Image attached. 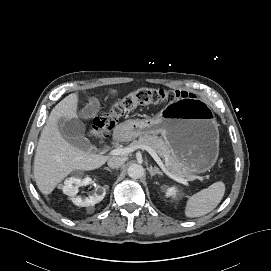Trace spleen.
<instances>
[{"label": "spleen", "instance_id": "obj_1", "mask_svg": "<svg viewBox=\"0 0 271 271\" xmlns=\"http://www.w3.org/2000/svg\"><path fill=\"white\" fill-rule=\"evenodd\" d=\"M224 193L225 184L218 181L208 188L189 196L185 206V216L195 218L208 214L221 202Z\"/></svg>", "mask_w": 271, "mask_h": 271}]
</instances>
